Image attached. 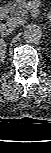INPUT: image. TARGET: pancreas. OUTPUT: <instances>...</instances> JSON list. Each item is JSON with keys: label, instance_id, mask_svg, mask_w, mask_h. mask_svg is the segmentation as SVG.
Returning <instances> with one entry per match:
<instances>
[{"label": "pancreas", "instance_id": "pancreas-1", "mask_svg": "<svg viewBox=\"0 0 51 153\" xmlns=\"http://www.w3.org/2000/svg\"><path fill=\"white\" fill-rule=\"evenodd\" d=\"M28 5L25 0H17L16 3L8 5V11L11 16H26L28 13Z\"/></svg>", "mask_w": 51, "mask_h": 153}]
</instances>
